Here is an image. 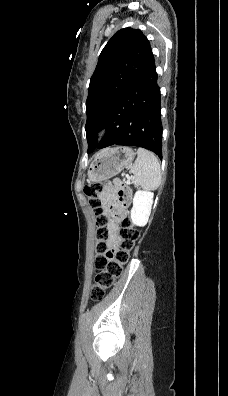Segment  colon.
Returning <instances> with one entry per match:
<instances>
[{
  "mask_svg": "<svg viewBox=\"0 0 228 396\" xmlns=\"http://www.w3.org/2000/svg\"><path fill=\"white\" fill-rule=\"evenodd\" d=\"M119 195L127 198L130 195L129 188L120 180L115 181ZM103 184L100 182L89 183L84 186L83 192L88 199L96 216V257L95 268L99 271L91 291L92 300L98 301L112 288L120 277L123 266L129 261L131 251L134 249L140 234L132 222L125 218L120 232V241L117 248L109 245L110 232L107 228V218L102 211L100 194Z\"/></svg>",
  "mask_w": 228,
  "mask_h": 396,
  "instance_id": "colon-1",
  "label": "colon"
}]
</instances>
